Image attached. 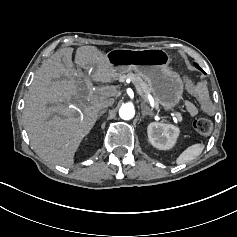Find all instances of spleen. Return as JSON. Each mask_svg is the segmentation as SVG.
<instances>
[{"mask_svg":"<svg viewBox=\"0 0 237 237\" xmlns=\"http://www.w3.org/2000/svg\"><path fill=\"white\" fill-rule=\"evenodd\" d=\"M203 144H194L184 150L176 159L177 164H185L196 159L203 151Z\"/></svg>","mask_w":237,"mask_h":237,"instance_id":"3e777b00","label":"spleen"}]
</instances>
